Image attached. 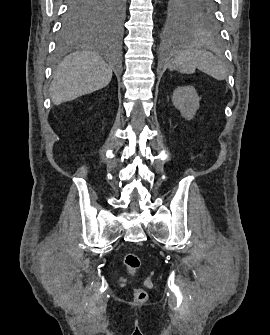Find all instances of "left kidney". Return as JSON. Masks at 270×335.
Masks as SVG:
<instances>
[{"label": "left kidney", "mask_w": 270, "mask_h": 335, "mask_svg": "<svg viewBox=\"0 0 270 335\" xmlns=\"http://www.w3.org/2000/svg\"><path fill=\"white\" fill-rule=\"evenodd\" d=\"M173 106L180 110L181 116L186 120H193L198 108L200 98L193 86H178L172 96Z\"/></svg>", "instance_id": "obj_1"}]
</instances>
